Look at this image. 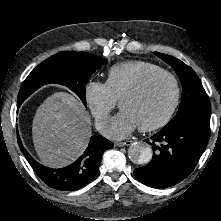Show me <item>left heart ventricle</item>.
<instances>
[{"instance_id": "1", "label": "left heart ventricle", "mask_w": 221, "mask_h": 221, "mask_svg": "<svg viewBox=\"0 0 221 221\" xmlns=\"http://www.w3.org/2000/svg\"><path fill=\"white\" fill-rule=\"evenodd\" d=\"M174 95L172 82L166 77L153 80L141 93L120 100L119 107L128 111L138 126L161 119L171 106Z\"/></svg>"}]
</instances>
